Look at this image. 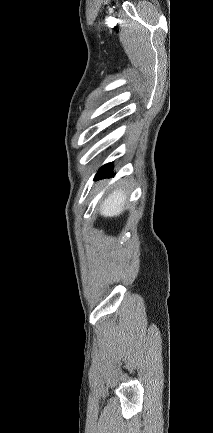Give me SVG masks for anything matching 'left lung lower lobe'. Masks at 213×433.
Returning <instances> with one entry per match:
<instances>
[{"label":"left lung lower lobe","mask_w":213,"mask_h":433,"mask_svg":"<svg viewBox=\"0 0 213 433\" xmlns=\"http://www.w3.org/2000/svg\"><path fill=\"white\" fill-rule=\"evenodd\" d=\"M111 171H112V163H108V164L102 166L98 170L96 177H95V180L102 178V177H105V176H109Z\"/></svg>","instance_id":"obj_1"}]
</instances>
